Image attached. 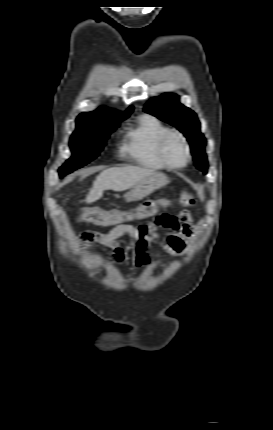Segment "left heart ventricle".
Returning <instances> with one entry per match:
<instances>
[{
	"label": "left heart ventricle",
	"instance_id": "b2bd125f",
	"mask_svg": "<svg viewBox=\"0 0 273 430\" xmlns=\"http://www.w3.org/2000/svg\"><path fill=\"white\" fill-rule=\"evenodd\" d=\"M165 154L172 163H182L185 159V148L182 140L177 136L170 137L165 146Z\"/></svg>",
	"mask_w": 273,
	"mask_h": 430
}]
</instances>
